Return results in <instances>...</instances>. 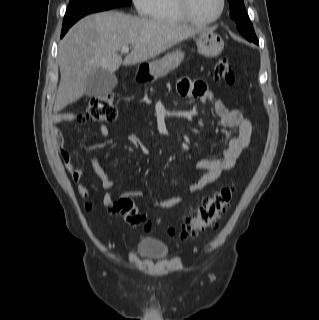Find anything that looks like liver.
Returning a JSON list of instances; mask_svg holds the SVG:
<instances>
[{"instance_id":"1","label":"liver","mask_w":319,"mask_h":320,"mask_svg":"<svg viewBox=\"0 0 319 320\" xmlns=\"http://www.w3.org/2000/svg\"><path fill=\"white\" fill-rule=\"evenodd\" d=\"M204 30L173 22L139 18L110 11L92 14L78 21L58 46L61 74L54 112L79 100L87 78L98 69L114 73L121 64L148 61L181 41ZM131 46L124 60L119 51Z\"/></svg>"}]
</instances>
